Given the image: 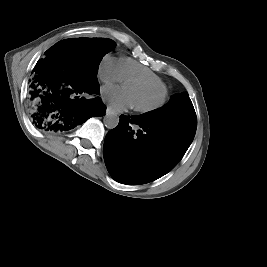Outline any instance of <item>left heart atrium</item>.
Wrapping results in <instances>:
<instances>
[{
	"label": "left heart atrium",
	"instance_id": "obj_1",
	"mask_svg": "<svg viewBox=\"0 0 267 267\" xmlns=\"http://www.w3.org/2000/svg\"><path fill=\"white\" fill-rule=\"evenodd\" d=\"M101 95L109 107L116 111H123L133 105L132 96L126 87L105 86Z\"/></svg>",
	"mask_w": 267,
	"mask_h": 267
}]
</instances>
